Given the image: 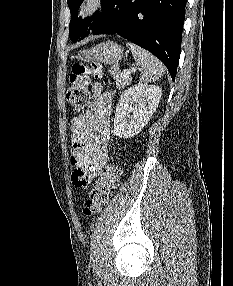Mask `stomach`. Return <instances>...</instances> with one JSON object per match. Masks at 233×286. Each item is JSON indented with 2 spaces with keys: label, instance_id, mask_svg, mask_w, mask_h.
Instances as JSON below:
<instances>
[{
  "label": "stomach",
  "instance_id": "0dacf381",
  "mask_svg": "<svg viewBox=\"0 0 233 286\" xmlns=\"http://www.w3.org/2000/svg\"><path fill=\"white\" fill-rule=\"evenodd\" d=\"M73 58L84 62H102L117 69L119 61L123 58V49L117 43L109 41L96 45L91 49L79 51Z\"/></svg>",
  "mask_w": 233,
  "mask_h": 286
}]
</instances>
